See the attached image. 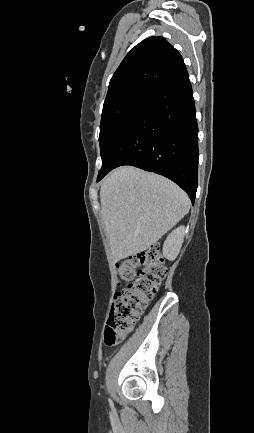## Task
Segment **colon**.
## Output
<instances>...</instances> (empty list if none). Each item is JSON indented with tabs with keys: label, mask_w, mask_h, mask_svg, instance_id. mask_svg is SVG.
I'll use <instances>...</instances> for the list:
<instances>
[{
	"label": "colon",
	"mask_w": 254,
	"mask_h": 433,
	"mask_svg": "<svg viewBox=\"0 0 254 433\" xmlns=\"http://www.w3.org/2000/svg\"><path fill=\"white\" fill-rule=\"evenodd\" d=\"M117 273L125 287L115 296L105 329V345L121 343L133 330L141 314L160 287L166 268L157 247H151L123 259Z\"/></svg>",
	"instance_id": "1"
}]
</instances>
